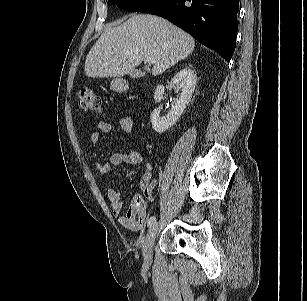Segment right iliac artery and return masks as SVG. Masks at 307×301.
I'll list each match as a JSON object with an SVG mask.
<instances>
[{"instance_id": "1", "label": "right iliac artery", "mask_w": 307, "mask_h": 301, "mask_svg": "<svg viewBox=\"0 0 307 301\" xmlns=\"http://www.w3.org/2000/svg\"><path fill=\"white\" fill-rule=\"evenodd\" d=\"M155 222H156V217L152 216L149 218L147 226L150 228L153 224H155Z\"/></svg>"}]
</instances>
